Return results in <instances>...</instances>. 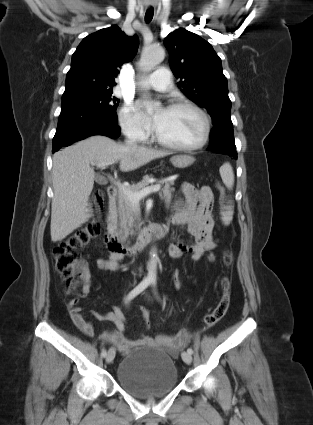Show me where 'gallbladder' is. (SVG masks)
Instances as JSON below:
<instances>
[{
    "label": "gallbladder",
    "mask_w": 313,
    "mask_h": 425,
    "mask_svg": "<svg viewBox=\"0 0 313 425\" xmlns=\"http://www.w3.org/2000/svg\"><path fill=\"white\" fill-rule=\"evenodd\" d=\"M95 181H96L97 183H99V184H105V180H104V178H103L102 176H100V175H96V176H95Z\"/></svg>",
    "instance_id": "gallbladder-1"
}]
</instances>
